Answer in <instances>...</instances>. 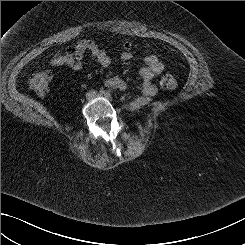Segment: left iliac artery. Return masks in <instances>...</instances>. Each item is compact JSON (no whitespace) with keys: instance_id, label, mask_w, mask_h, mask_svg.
I'll return each instance as SVG.
<instances>
[{"instance_id":"obj_1","label":"left iliac artery","mask_w":245,"mask_h":245,"mask_svg":"<svg viewBox=\"0 0 245 245\" xmlns=\"http://www.w3.org/2000/svg\"><path fill=\"white\" fill-rule=\"evenodd\" d=\"M105 97L110 98V97H111V93H110L109 91H107V92L105 93Z\"/></svg>"}]
</instances>
